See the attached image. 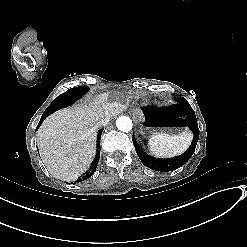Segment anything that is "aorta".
Here are the masks:
<instances>
[{"mask_svg":"<svg viewBox=\"0 0 247 247\" xmlns=\"http://www.w3.org/2000/svg\"><path fill=\"white\" fill-rule=\"evenodd\" d=\"M132 120L127 116H120L116 120V126L120 131L129 132L132 129Z\"/></svg>","mask_w":247,"mask_h":247,"instance_id":"aorta-1","label":"aorta"}]
</instances>
